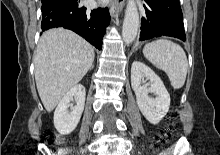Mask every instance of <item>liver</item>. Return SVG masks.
I'll list each match as a JSON object with an SVG mask.
<instances>
[{
	"mask_svg": "<svg viewBox=\"0 0 220 155\" xmlns=\"http://www.w3.org/2000/svg\"><path fill=\"white\" fill-rule=\"evenodd\" d=\"M94 49L70 30L54 28L43 33L35 52V80L41 101L51 112L65 94L86 75Z\"/></svg>",
	"mask_w": 220,
	"mask_h": 155,
	"instance_id": "liver-1",
	"label": "liver"
}]
</instances>
